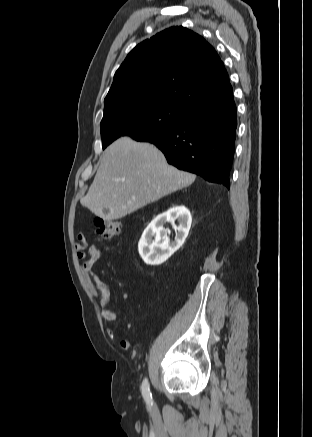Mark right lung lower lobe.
Wrapping results in <instances>:
<instances>
[{"label":"right lung lower lobe","instance_id":"1","mask_svg":"<svg viewBox=\"0 0 312 437\" xmlns=\"http://www.w3.org/2000/svg\"><path fill=\"white\" fill-rule=\"evenodd\" d=\"M236 128L229 85L220 95L191 108L179 126L145 141L155 144L168 163L229 189Z\"/></svg>","mask_w":312,"mask_h":437}]
</instances>
